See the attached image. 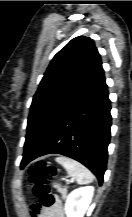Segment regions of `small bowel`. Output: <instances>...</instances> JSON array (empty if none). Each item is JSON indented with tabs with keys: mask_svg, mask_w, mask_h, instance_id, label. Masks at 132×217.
I'll return each instance as SVG.
<instances>
[{
	"mask_svg": "<svg viewBox=\"0 0 132 217\" xmlns=\"http://www.w3.org/2000/svg\"><path fill=\"white\" fill-rule=\"evenodd\" d=\"M38 214V217H64L61 201L57 200L52 206L40 208Z\"/></svg>",
	"mask_w": 132,
	"mask_h": 217,
	"instance_id": "1",
	"label": "small bowel"
}]
</instances>
